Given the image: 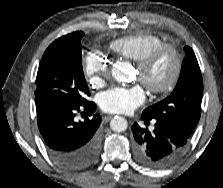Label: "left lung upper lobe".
Instances as JSON below:
<instances>
[{"label":"left lung upper lobe","mask_w":223,"mask_h":188,"mask_svg":"<svg viewBox=\"0 0 223 188\" xmlns=\"http://www.w3.org/2000/svg\"><path fill=\"white\" fill-rule=\"evenodd\" d=\"M186 57L177 85L170 96L142 112V116L162 122L185 137L194 132L201 114L203 81L193 50L184 48Z\"/></svg>","instance_id":"obj_1"}]
</instances>
